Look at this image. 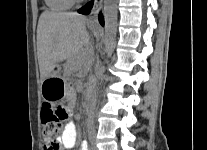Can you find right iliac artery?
<instances>
[{
	"instance_id": "1",
	"label": "right iliac artery",
	"mask_w": 207,
	"mask_h": 150,
	"mask_svg": "<svg viewBox=\"0 0 207 150\" xmlns=\"http://www.w3.org/2000/svg\"><path fill=\"white\" fill-rule=\"evenodd\" d=\"M81 150H88L87 149V142L86 141H84L83 143H82V149Z\"/></svg>"
}]
</instances>
